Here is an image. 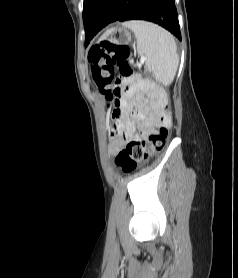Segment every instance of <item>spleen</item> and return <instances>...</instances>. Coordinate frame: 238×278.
<instances>
[{
    "instance_id": "1",
    "label": "spleen",
    "mask_w": 238,
    "mask_h": 278,
    "mask_svg": "<svg viewBox=\"0 0 238 278\" xmlns=\"http://www.w3.org/2000/svg\"><path fill=\"white\" fill-rule=\"evenodd\" d=\"M123 26L137 39V52L145 56V67L162 85H169L178 67L177 47L171 33L146 21H128Z\"/></svg>"
}]
</instances>
